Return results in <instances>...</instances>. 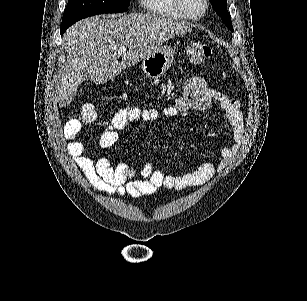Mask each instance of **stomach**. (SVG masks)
<instances>
[{"mask_svg":"<svg viewBox=\"0 0 307 301\" xmlns=\"http://www.w3.org/2000/svg\"><path fill=\"white\" fill-rule=\"evenodd\" d=\"M175 54V48L170 44H163L159 50L151 52L142 60V70L147 78H159L170 68Z\"/></svg>","mask_w":307,"mask_h":301,"instance_id":"0dacf381","label":"stomach"}]
</instances>
